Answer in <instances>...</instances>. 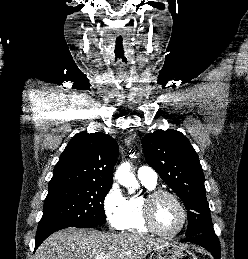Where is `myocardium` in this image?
Instances as JSON below:
<instances>
[{"mask_svg": "<svg viewBox=\"0 0 248 259\" xmlns=\"http://www.w3.org/2000/svg\"><path fill=\"white\" fill-rule=\"evenodd\" d=\"M163 196H167L173 199L181 210V214H182L181 224L179 228L173 232H164L158 227L155 220V215H154L155 204L157 200ZM143 217L146 225L152 232L165 238H172L180 234L185 228L187 219H188V213L184 203L175 193L165 189H153L151 191H148L143 197Z\"/></svg>", "mask_w": 248, "mask_h": 259, "instance_id": "myocardium-1", "label": "myocardium"}]
</instances>
